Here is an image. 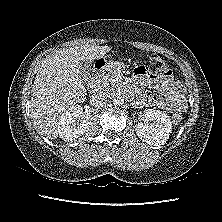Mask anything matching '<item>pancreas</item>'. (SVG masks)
Here are the masks:
<instances>
[{"label":"pancreas","instance_id":"1","mask_svg":"<svg viewBox=\"0 0 222 222\" xmlns=\"http://www.w3.org/2000/svg\"><path fill=\"white\" fill-rule=\"evenodd\" d=\"M114 87L113 77H108L106 80L102 81L99 93L110 94V92L114 91Z\"/></svg>","mask_w":222,"mask_h":222}]
</instances>
